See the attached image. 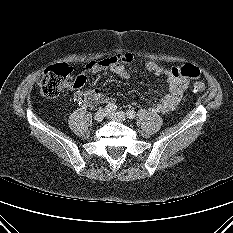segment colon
<instances>
[{
    "label": "colon",
    "mask_w": 233,
    "mask_h": 233,
    "mask_svg": "<svg viewBox=\"0 0 233 233\" xmlns=\"http://www.w3.org/2000/svg\"><path fill=\"white\" fill-rule=\"evenodd\" d=\"M71 73L72 68L65 63L55 64L46 68L38 81L41 94L46 98H55L66 85ZM174 74L183 78L196 79L200 75V70L194 65L186 64L177 67ZM75 82L81 83L82 80L77 78ZM193 89L196 92H203L205 85L200 81H196L193 84Z\"/></svg>",
    "instance_id": "obj_1"
}]
</instances>
